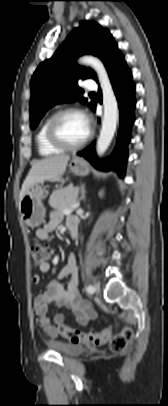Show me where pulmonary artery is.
<instances>
[{
	"mask_svg": "<svg viewBox=\"0 0 168 406\" xmlns=\"http://www.w3.org/2000/svg\"><path fill=\"white\" fill-rule=\"evenodd\" d=\"M85 88L87 90H96L97 89V84L93 79H87Z\"/></svg>",
	"mask_w": 168,
	"mask_h": 406,
	"instance_id": "e3ab8cb5",
	"label": "pulmonary artery"
}]
</instances>
